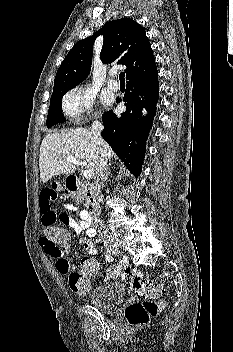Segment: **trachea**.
Instances as JSON below:
<instances>
[{"label": "trachea", "instance_id": "1", "mask_svg": "<svg viewBox=\"0 0 233 352\" xmlns=\"http://www.w3.org/2000/svg\"><path fill=\"white\" fill-rule=\"evenodd\" d=\"M119 80H120V82H125V73L124 72H121L119 74Z\"/></svg>", "mask_w": 233, "mask_h": 352}]
</instances>
